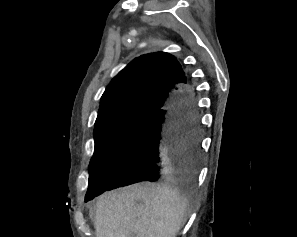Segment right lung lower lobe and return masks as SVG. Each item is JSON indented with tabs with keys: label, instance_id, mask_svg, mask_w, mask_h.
Listing matches in <instances>:
<instances>
[{
	"label": "right lung lower lobe",
	"instance_id": "right-lung-lower-lobe-1",
	"mask_svg": "<svg viewBox=\"0 0 297 237\" xmlns=\"http://www.w3.org/2000/svg\"><path fill=\"white\" fill-rule=\"evenodd\" d=\"M200 157V122L194 88L173 92L168 104L150 115L139 138L116 170L106 190L138 183L157 182L193 174Z\"/></svg>",
	"mask_w": 297,
	"mask_h": 237
}]
</instances>
